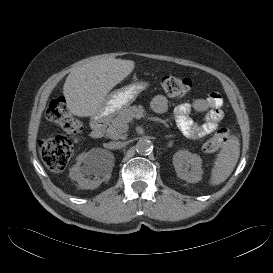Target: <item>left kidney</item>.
<instances>
[{
    "label": "left kidney",
    "mask_w": 273,
    "mask_h": 273,
    "mask_svg": "<svg viewBox=\"0 0 273 273\" xmlns=\"http://www.w3.org/2000/svg\"><path fill=\"white\" fill-rule=\"evenodd\" d=\"M173 165L177 176L189 183H196L202 179V159L197 154L179 150L173 155Z\"/></svg>",
    "instance_id": "left-kidney-1"
}]
</instances>
